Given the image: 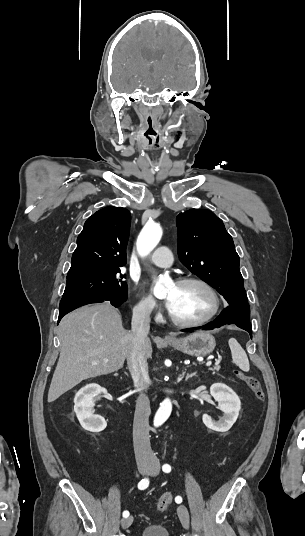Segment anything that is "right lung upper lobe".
<instances>
[{
	"label": "right lung upper lobe",
	"instance_id": "obj_1",
	"mask_svg": "<svg viewBox=\"0 0 305 536\" xmlns=\"http://www.w3.org/2000/svg\"><path fill=\"white\" fill-rule=\"evenodd\" d=\"M130 224V212L122 207H106L89 217L77 238L67 278L124 266Z\"/></svg>",
	"mask_w": 305,
	"mask_h": 536
}]
</instances>
